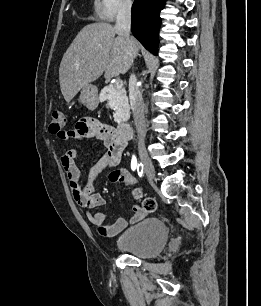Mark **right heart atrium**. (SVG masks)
<instances>
[{
    "label": "right heart atrium",
    "mask_w": 261,
    "mask_h": 306,
    "mask_svg": "<svg viewBox=\"0 0 261 306\" xmlns=\"http://www.w3.org/2000/svg\"><path fill=\"white\" fill-rule=\"evenodd\" d=\"M131 6V0H95L94 13L101 20L112 21L117 16L128 12Z\"/></svg>",
    "instance_id": "d8ad5b80"
}]
</instances>
